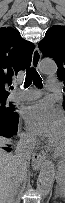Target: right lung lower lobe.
Here are the masks:
<instances>
[{
	"label": "right lung lower lobe",
	"mask_w": 65,
	"mask_h": 203,
	"mask_svg": "<svg viewBox=\"0 0 65 203\" xmlns=\"http://www.w3.org/2000/svg\"><path fill=\"white\" fill-rule=\"evenodd\" d=\"M19 116L14 118H0V136L11 137L18 130ZM6 151H11L10 147L3 148Z\"/></svg>",
	"instance_id": "1"
}]
</instances>
